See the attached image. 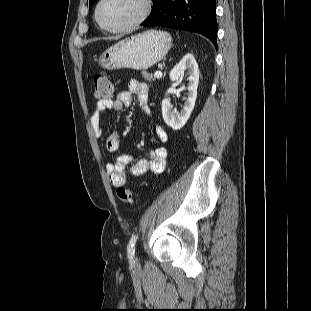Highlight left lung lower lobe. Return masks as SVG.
Segmentation results:
<instances>
[{"label":"left lung lower lobe","instance_id":"left-lung-lower-lobe-1","mask_svg":"<svg viewBox=\"0 0 311 311\" xmlns=\"http://www.w3.org/2000/svg\"><path fill=\"white\" fill-rule=\"evenodd\" d=\"M154 8L141 24L163 26L206 36L217 46L215 0H152Z\"/></svg>","mask_w":311,"mask_h":311}]
</instances>
